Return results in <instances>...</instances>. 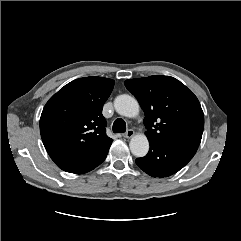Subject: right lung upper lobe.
<instances>
[{
    "label": "right lung upper lobe",
    "mask_w": 241,
    "mask_h": 241,
    "mask_svg": "<svg viewBox=\"0 0 241 241\" xmlns=\"http://www.w3.org/2000/svg\"><path fill=\"white\" fill-rule=\"evenodd\" d=\"M114 80L102 77L76 79L54 94L40 118L43 144L56 165L90 155L113 141L106 135L102 107Z\"/></svg>",
    "instance_id": "right-lung-upper-lobe-1"
}]
</instances>
